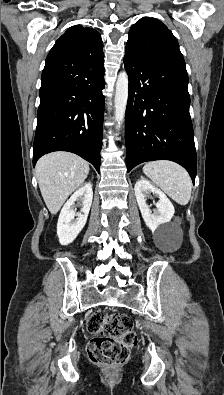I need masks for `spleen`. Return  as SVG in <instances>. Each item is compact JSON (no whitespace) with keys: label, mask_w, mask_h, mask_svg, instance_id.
Instances as JSON below:
<instances>
[{"label":"spleen","mask_w":224,"mask_h":395,"mask_svg":"<svg viewBox=\"0 0 224 395\" xmlns=\"http://www.w3.org/2000/svg\"><path fill=\"white\" fill-rule=\"evenodd\" d=\"M143 172L178 204L189 202L192 181L182 166L172 161H152L144 165Z\"/></svg>","instance_id":"spleen-1"}]
</instances>
